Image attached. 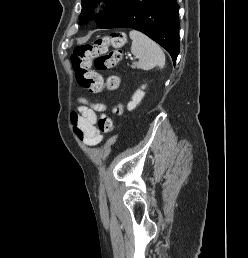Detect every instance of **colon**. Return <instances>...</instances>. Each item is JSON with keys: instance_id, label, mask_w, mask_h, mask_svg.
<instances>
[{"instance_id": "5ec220e1", "label": "colon", "mask_w": 248, "mask_h": 258, "mask_svg": "<svg viewBox=\"0 0 248 258\" xmlns=\"http://www.w3.org/2000/svg\"><path fill=\"white\" fill-rule=\"evenodd\" d=\"M125 43V34L118 31L99 38L92 44L75 47L71 55V64L77 83L96 94L116 89V80L105 81L98 72L92 70V66L97 70H106L116 66L122 60ZM109 46H113L116 49L108 52ZM122 112L123 107L121 104L113 107L115 115L119 116ZM98 129L102 133H111L114 129L113 119L106 114H102L98 120Z\"/></svg>"}]
</instances>
